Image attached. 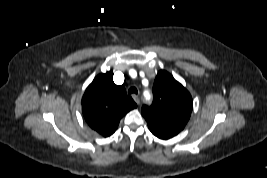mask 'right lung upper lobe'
Returning <instances> with one entry per match:
<instances>
[{
    "label": "right lung upper lobe",
    "mask_w": 267,
    "mask_h": 178,
    "mask_svg": "<svg viewBox=\"0 0 267 178\" xmlns=\"http://www.w3.org/2000/svg\"><path fill=\"white\" fill-rule=\"evenodd\" d=\"M136 107L124 86L116 85L109 72L99 74L82 98V112L87 124L104 137L112 135L120 119Z\"/></svg>",
    "instance_id": "cb5924a9"
}]
</instances>
